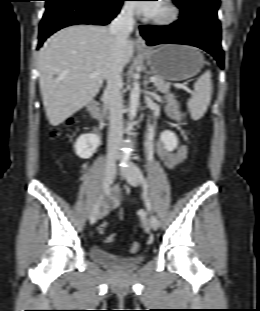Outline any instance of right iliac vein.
Masks as SVG:
<instances>
[{"label": "right iliac vein", "instance_id": "63e3f726", "mask_svg": "<svg viewBox=\"0 0 260 311\" xmlns=\"http://www.w3.org/2000/svg\"><path fill=\"white\" fill-rule=\"evenodd\" d=\"M117 158L118 156L116 153V148H112V150L108 154V159H107V163L105 166L104 180H103L104 190H107L112 183L113 176L115 173V162ZM101 200L102 198L100 197L98 201L94 204L90 212V215H89L90 224H94L97 221V218L100 214Z\"/></svg>", "mask_w": 260, "mask_h": 311}]
</instances>
